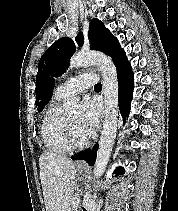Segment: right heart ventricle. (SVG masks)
Segmentation results:
<instances>
[{"mask_svg": "<svg viewBox=\"0 0 178 211\" xmlns=\"http://www.w3.org/2000/svg\"><path fill=\"white\" fill-rule=\"evenodd\" d=\"M64 100L56 95L46 109L43 117L40 133L42 141L48 151L55 154H63L71 150L64 142V120L61 112L60 102Z\"/></svg>", "mask_w": 178, "mask_h": 211, "instance_id": "right-heart-ventricle-1", "label": "right heart ventricle"}]
</instances>
